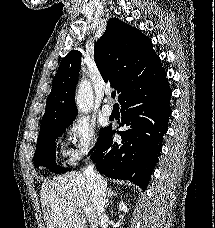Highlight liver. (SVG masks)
<instances>
[{
    "label": "liver",
    "instance_id": "liver-1",
    "mask_svg": "<svg viewBox=\"0 0 215 228\" xmlns=\"http://www.w3.org/2000/svg\"><path fill=\"white\" fill-rule=\"evenodd\" d=\"M40 198L46 228H87L86 218H90V228L99 226L92 190L84 174L68 172L45 180Z\"/></svg>",
    "mask_w": 215,
    "mask_h": 228
}]
</instances>
